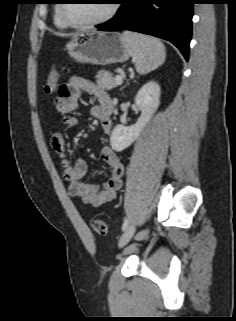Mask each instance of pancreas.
<instances>
[{
  "label": "pancreas",
  "instance_id": "pancreas-1",
  "mask_svg": "<svg viewBox=\"0 0 236 321\" xmlns=\"http://www.w3.org/2000/svg\"><path fill=\"white\" fill-rule=\"evenodd\" d=\"M96 79L98 86L102 89L111 90L117 87L116 78L108 71H99L96 75Z\"/></svg>",
  "mask_w": 236,
  "mask_h": 321
}]
</instances>
